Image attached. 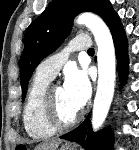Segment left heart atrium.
<instances>
[{
    "label": "left heart atrium",
    "mask_w": 139,
    "mask_h": 150,
    "mask_svg": "<svg viewBox=\"0 0 139 150\" xmlns=\"http://www.w3.org/2000/svg\"><path fill=\"white\" fill-rule=\"evenodd\" d=\"M63 89L70 101L82 108L90 97L91 87L86 73L76 68L67 71Z\"/></svg>",
    "instance_id": "obj_1"
}]
</instances>
